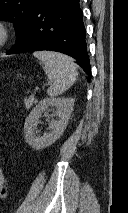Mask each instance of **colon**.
Wrapping results in <instances>:
<instances>
[{
	"mask_svg": "<svg viewBox=\"0 0 128 213\" xmlns=\"http://www.w3.org/2000/svg\"><path fill=\"white\" fill-rule=\"evenodd\" d=\"M7 196V188L5 183V178L0 167V199L3 200Z\"/></svg>",
	"mask_w": 128,
	"mask_h": 213,
	"instance_id": "5ec220e1",
	"label": "colon"
}]
</instances>
